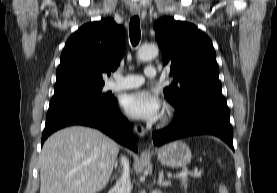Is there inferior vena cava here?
Listing matches in <instances>:
<instances>
[{
  "label": "inferior vena cava",
  "mask_w": 277,
  "mask_h": 193,
  "mask_svg": "<svg viewBox=\"0 0 277 193\" xmlns=\"http://www.w3.org/2000/svg\"><path fill=\"white\" fill-rule=\"evenodd\" d=\"M121 163L123 165V173L114 186L115 193H130L132 184L130 180V168L127 158L122 157Z\"/></svg>",
  "instance_id": "1"
}]
</instances>
